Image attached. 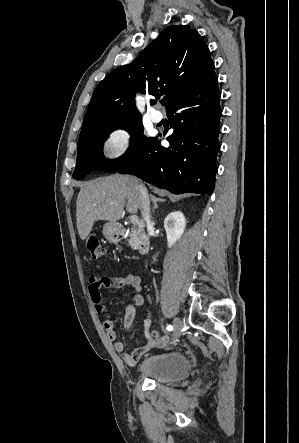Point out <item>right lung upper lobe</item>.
Wrapping results in <instances>:
<instances>
[{"label":"right lung upper lobe","instance_id":"1","mask_svg":"<svg viewBox=\"0 0 299 443\" xmlns=\"http://www.w3.org/2000/svg\"><path fill=\"white\" fill-rule=\"evenodd\" d=\"M214 73L210 51L200 34L184 25L169 26L131 64L115 69L99 83L80 137L109 124L140 118L134 101L137 91L165 95L168 110Z\"/></svg>","mask_w":299,"mask_h":443}]
</instances>
